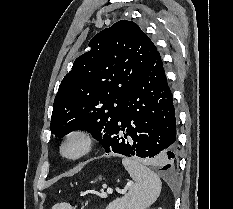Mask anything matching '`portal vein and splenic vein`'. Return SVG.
Wrapping results in <instances>:
<instances>
[{
  "mask_svg": "<svg viewBox=\"0 0 233 209\" xmlns=\"http://www.w3.org/2000/svg\"><path fill=\"white\" fill-rule=\"evenodd\" d=\"M107 193H108V194H112V193H113V189H112V188H107ZM122 193H126V189L122 190ZM101 196H102V197H106L107 195H106V193L103 192V193L101 194Z\"/></svg>",
  "mask_w": 233,
  "mask_h": 209,
  "instance_id": "1",
  "label": "portal vein and splenic vein"
}]
</instances>
